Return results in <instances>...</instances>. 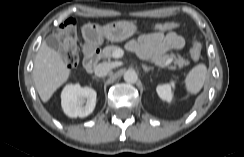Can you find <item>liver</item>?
I'll return each instance as SVG.
<instances>
[{
    "label": "liver",
    "instance_id": "obj_1",
    "mask_svg": "<svg viewBox=\"0 0 244 157\" xmlns=\"http://www.w3.org/2000/svg\"><path fill=\"white\" fill-rule=\"evenodd\" d=\"M32 74L41 100L47 103L54 92L68 80L71 70L62 56L44 41L36 54Z\"/></svg>",
    "mask_w": 244,
    "mask_h": 157
}]
</instances>
